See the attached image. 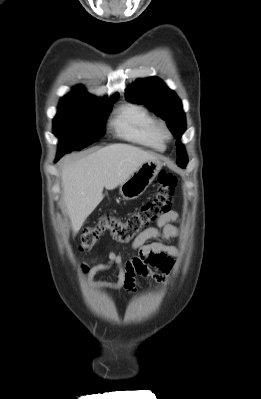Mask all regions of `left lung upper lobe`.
Here are the masks:
<instances>
[{"label":"left lung upper lobe","mask_w":261,"mask_h":399,"mask_svg":"<svg viewBox=\"0 0 261 399\" xmlns=\"http://www.w3.org/2000/svg\"><path fill=\"white\" fill-rule=\"evenodd\" d=\"M125 96L130 102L146 105L167 121L170 131L178 138L176 141L177 163L180 167H185L188 159L185 148L180 143V138L186 129V121L181 101L176 94L168 89L160 79L152 77L137 80L135 84L129 86Z\"/></svg>","instance_id":"left-lung-upper-lobe-1"}]
</instances>
